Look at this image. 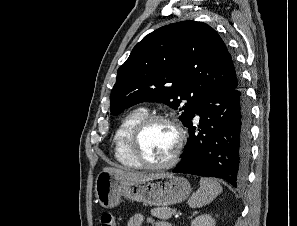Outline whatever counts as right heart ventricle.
I'll return each instance as SVG.
<instances>
[{
	"instance_id": "1",
	"label": "right heart ventricle",
	"mask_w": 297,
	"mask_h": 226,
	"mask_svg": "<svg viewBox=\"0 0 297 226\" xmlns=\"http://www.w3.org/2000/svg\"><path fill=\"white\" fill-rule=\"evenodd\" d=\"M147 115L145 108L139 107L129 111L118 125L114 137V155L124 167L139 169L140 165L134 160L129 151V137L136 123Z\"/></svg>"
}]
</instances>
